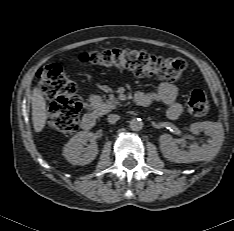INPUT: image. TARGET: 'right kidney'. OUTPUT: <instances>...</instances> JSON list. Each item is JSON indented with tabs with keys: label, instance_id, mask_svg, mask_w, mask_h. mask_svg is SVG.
Masks as SVG:
<instances>
[{
	"label": "right kidney",
	"instance_id": "obj_1",
	"mask_svg": "<svg viewBox=\"0 0 234 231\" xmlns=\"http://www.w3.org/2000/svg\"><path fill=\"white\" fill-rule=\"evenodd\" d=\"M90 142L87 148L83 144ZM98 154L96 135L92 132L81 131L74 135L63 148V155L73 165L91 163Z\"/></svg>",
	"mask_w": 234,
	"mask_h": 231
}]
</instances>
